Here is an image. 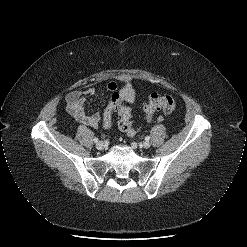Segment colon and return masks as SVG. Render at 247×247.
Here are the masks:
<instances>
[{"label":"colon","mask_w":247,"mask_h":247,"mask_svg":"<svg viewBox=\"0 0 247 247\" xmlns=\"http://www.w3.org/2000/svg\"><path fill=\"white\" fill-rule=\"evenodd\" d=\"M176 110V102L171 96L159 95L153 93L150 95L147 104L144 107L147 122H151L153 115L157 111L172 113ZM117 113L119 116L118 127L129 137L136 136L140 130H135L131 123V108L123 103L119 92H114L103 115V126L109 128L112 122V116Z\"/></svg>","instance_id":"5ec220e1"}]
</instances>
